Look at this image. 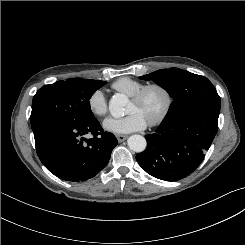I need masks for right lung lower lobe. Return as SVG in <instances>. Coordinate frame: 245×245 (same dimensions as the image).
<instances>
[{
  "instance_id": "98d812e1",
  "label": "right lung lower lobe",
  "mask_w": 245,
  "mask_h": 245,
  "mask_svg": "<svg viewBox=\"0 0 245 245\" xmlns=\"http://www.w3.org/2000/svg\"><path fill=\"white\" fill-rule=\"evenodd\" d=\"M32 130L43 165L55 176L73 182L98 174L118 143L112 133L103 132L96 118L76 124L50 119ZM86 134H92L93 138L85 139Z\"/></svg>"
}]
</instances>
